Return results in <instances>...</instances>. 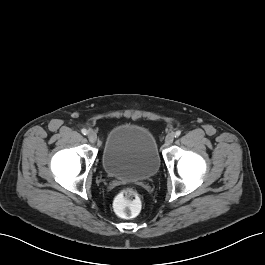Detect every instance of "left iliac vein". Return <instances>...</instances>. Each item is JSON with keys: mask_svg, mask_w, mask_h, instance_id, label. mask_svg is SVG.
<instances>
[{"mask_svg": "<svg viewBox=\"0 0 265 265\" xmlns=\"http://www.w3.org/2000/svg\"><path fill=\"white\" fill-rule=\"evenodd\" d=\"M174 137L175 135L173 133L167 134V136L165 137V144L166 145L172 144V142L174 141Z\"/></svg>", "mask_w": 265, "mask_h": 265, "instance_id": "1", "label": "left iliac vein"}]
</instances>
